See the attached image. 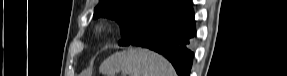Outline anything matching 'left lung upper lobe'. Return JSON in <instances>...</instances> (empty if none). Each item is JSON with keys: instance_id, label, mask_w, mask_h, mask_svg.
<instances>
[{"instance_id": "5c2ea615", "label": "left lung upper lobe", "mask_w": 287, "mask_h": 76, "mask_svg": "<svg viewBox=\"0 0 287 76\" xmlns=\"http://www.w3.org/2000/svg\"><path fill=\"white\" fill-rule=\"evenodd\" d=\"M187 0H100L94 18L116 20L122 39L119 45H129L165 16L179 10Z\"/></svg>"}]
</instances>
